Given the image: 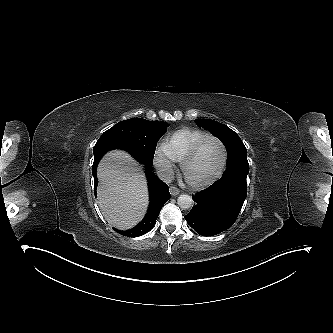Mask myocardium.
<instances>
[{"label": "myocardium", "mask_w": 333, "mask_h": 333, "mask_svg": "<svg viewBox=\"0 0 333 333\" xmlns=\"http://www.w3.org/2000/svg\"><path fill=\"white\" fill-rule=\"evenodd\" d=\"M209 140L217 141L222 148V161H221L220 167L211 178L204 180V181H192L187 177V174H186L187 165L196 157V155L198 154L202 145ZM227 158H228L227 148H226L223 140L215 135H208V136L200 139L197 143H195L192 146V148L188 151V153L185 155V157L181 161V171H182V174H183L186 182L191 187L197 188V189L204 188V187H207V186L213 184L221 177V175L223 174L224 169L226 167V164H227Z\"/></svg>", "instance_id": "f54148a6"}]
</instances>
